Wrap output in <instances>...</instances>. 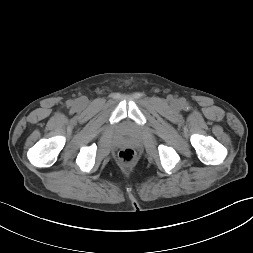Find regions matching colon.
Here are the masks:
<instances>
[{"mask_svg": "<svg viewBox=\"0 0 253 253\" xmlns=\"http://www.w3.org/2000/svg\"><path fill=\"white\" fill-rule=\"evenodd\" d=\"M118 157L123 164L130 165L136 158V152L132 148H123L120 150Z\"/></svg>", "mask_w": 253, "mask_h": 253, "instance_id": "5ec220e1", "label": "colon"}]
</instances>
